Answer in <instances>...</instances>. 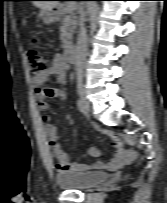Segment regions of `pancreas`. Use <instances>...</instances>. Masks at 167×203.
<instances>
[{
    "label": "pancreas",
    "mask_w": 167,
    "mask_h": 203,
    "mask_svg": "<svg viewBox=\"0 0 167 203\" xmlns=\"http://www.w3.org/2000/svg\"><path fill=\"white\" fill-rule=\"evenodd\" d=\"M77 17L71 11L64 9L62 11L61 27H60V39L62 47L68 49L72 45V37L77 27Z\"/></svg>",
    "instance_id": "cf45deb5"
}]
</instances>
